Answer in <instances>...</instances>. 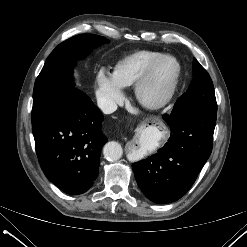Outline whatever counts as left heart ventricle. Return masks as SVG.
Returning a JSON list of instances; mask_svg holds the SVG:
<instances>
[{
	"label": "left heart ventricle",
	"instance_id": "b2bd125f",
	"mask_svg": "<svg viewBox=\"0 0 247 247\" xmlns=\"http://www.w3.org/2000/svg\"><path fill=\"white\" fill-rule=\"evenodd\" d=\"M174 70L175 65L172 61L166 60L162 62L155 70L152 80L147 87V95L150 97H155L161 94L166 86L169 84Z\"/></svg>",
	"mask_w": 247,
	"mask_h": 247
}]
</instances>
